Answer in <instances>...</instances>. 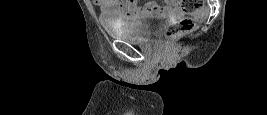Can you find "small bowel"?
<instances>
[{
  "label": "small bowel",
  "instance_id": "obj_1",
  "mask_svg": "<svg viewBox=\"0 0 267 115\" xmlns=\"http://www.w3.org/2000/svg\"><path fill=\"white\" fill-rule=\"evenodd\" d=\"M95 2L102 11L116 10L127 20H135L141 15L150 13L170 16L177 14L180 10L178 1H166L164 6L153 1L140 5L136 0H97Z\"/></svg>",
  "mask_w": 267,
  "mask_h": 115
}]
</instances>
